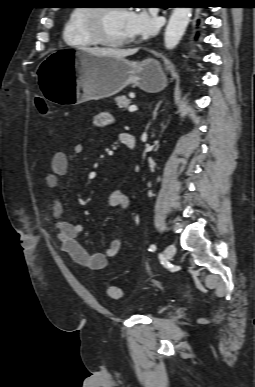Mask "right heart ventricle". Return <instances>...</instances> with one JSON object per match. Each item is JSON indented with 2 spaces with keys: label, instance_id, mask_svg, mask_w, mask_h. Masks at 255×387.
<instances>
[{
  "label": "right heart ventricle",
  "instance_id": "obj_1",
  "mask_svg": "<svg viewBox=\"0 0 255 387\" xmlns=\"http://www.w3.org/2000/svg\"><path fill=\"white\" fill-rule=\"evenodd\" d=\"M89 7L76 6L68 15L63 28L64 42L73 48H86L96 45L86 30L85 18Z\"/></svg>",
  "mask_w": 255,
  "mask_h": 387
}]
</instances>
